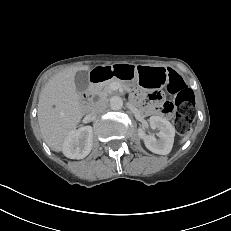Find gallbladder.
<instances>
[{
	"instance_id": "gallbladder-1",
	"label": "gallbladder",
	"mask_w": 231,
	"mask_h": 231,
	"mask_svg": "<svg viewBox=\"0 0 231 231\" xmlns=\"http://www.w3.org/2000/svg\"><path fill=\"white\" fill-rule=\"evenodd\" d=\"M74 80L77 90L84 91L87 89L89 81L86 71H78L75 75Z\"/></svg>"
}]
</instances>
